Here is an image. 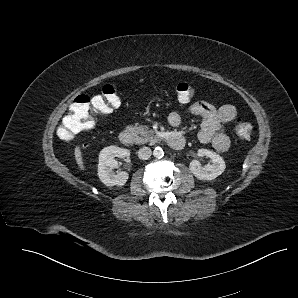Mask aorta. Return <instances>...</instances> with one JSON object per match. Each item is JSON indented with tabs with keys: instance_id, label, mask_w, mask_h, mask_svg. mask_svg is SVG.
<instances>
[{
	"instance_id": "obj_1",
	"label": "aorta",
	"mask_w": 298,
	"mask_h": 298,
	"mask_svg": "<svg viewBox=\"0 0 298 298\" xmlns=\"http://www.w3.org/2000/svg\"><path fill=\"white\" fill-rule=\"evenodd\" d=\"M153 155L156 158H162L164 156V151L161 147H156L153 151Z\"/></svg>"
}]
</instances>
